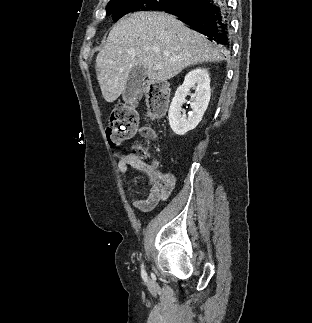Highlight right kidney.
<instances>
[{
	"label": "right kidney",
	"instance_id": "1",
	"mask_svg": "<svg viewBox=\"0 0 312 323\" xmlns=\"http://www.w3.org/2000/svg\"><path fill=\"white\" fill-rule=\"evenodd\" d=\"M190 90H195V94H191L193 102H191L190 108L192 112L186 116V112L182 110L181 106L186 102L185 98ZM210 96V78L206 68H195L186 74L182 86L176 90L168 114L170 128L177 136H184L186 132L194 130L198 126L207 110Z\"/></svg>",
	"mask_w": 312,
	"mask_h": 323
}]
</instances>
